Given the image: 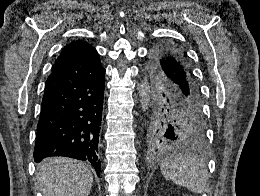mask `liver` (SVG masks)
Instances as JSON below:
<instances>
[{
  "label": "liver",
  "instance_id": "6515ba94",
  "mask_svg": "<svg viewBox=\"0 0 260 196\" xmlns=\"http://www.w3.org/2000/svg\"><path fill=\"white\" fill-rule=\"evenodd\" d=\"M93 176L79 160L48 158L39 166L37 184L43 196H89Z\"/></svg>",
  "mask_w": 260,
  "mask_h": 196
}]
</instances>
